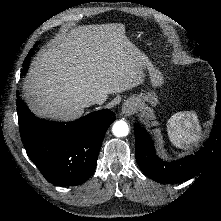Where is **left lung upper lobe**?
Segmentation results:
<instances>
[{"mask_svg":"<svg viewBox=\"0 0 221 221\" xmlns=\"http://www.w3.org/2000/svg\"><path fill=\"white\" fill-rule=\"evenodd\" d=\"M194 52L196 53V55L201 56V58L206 59L205 54L201 49L200 45L195 48Z\"/></svg>","mask_w":221,"mask_h":221,"instance_id":"left-lung-upper-lobe-1","label":"left lung upper lobe"}]
</instances>
